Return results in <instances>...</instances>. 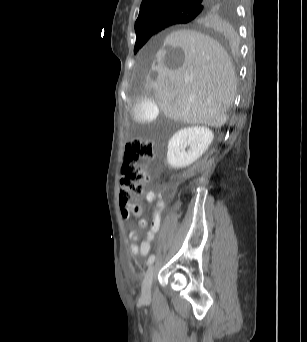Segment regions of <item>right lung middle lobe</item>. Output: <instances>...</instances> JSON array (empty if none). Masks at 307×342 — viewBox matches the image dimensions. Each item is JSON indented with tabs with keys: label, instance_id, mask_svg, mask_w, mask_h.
I'll use <instances>...</instances> for the list:
<instances>
[{
	"label": "right lung middle lobe",
	"instance_id": "right-lung-middle-lobe-1",
	"mask_svg": "<svg viewBox=\"0 0 307 342\" xmlns=\"http://www.w3.org/2000/svg\"><path fill=\"white\" fill-rule=\"evenodd\" d=\"M198 14L199 10L183 9L164 15L159 25L136 33L137 39L134 47V53H137V51L142 48V46L149 40L152 35L171 25L187 23L193 20Z\"/></svg>",
	"mask_w": 307,
	"mask_h": 342
}]
</instances>
